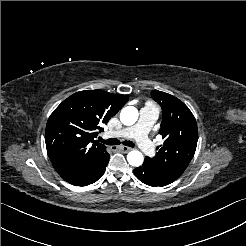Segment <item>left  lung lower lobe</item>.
I'll return each mask as SVG.
<instances>
[{"instance_id":"0a47b994","label":"left lung lower lobe","mask_w":246,"mask_h":246,"mask_svg":"<svg viewBox=\"0 0 246 246\" xmlns=\"http://www.w3.org/2000/svg\"><path fill=\"white\" fill-rule=\"evenodd\" d=\"M134 174L143 183L154 187H162L174 181L168 174L155 167L153 159L149 157L145 158L141 167L134 169Z\"/></svg>"}]
</instances>
